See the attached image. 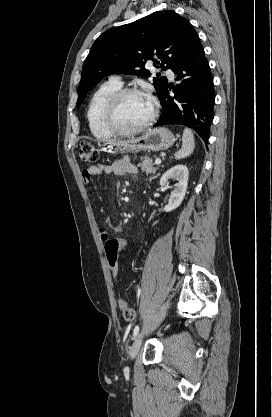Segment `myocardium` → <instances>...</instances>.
I'll list each match as a JSON object with an SVG mask.
<instances>
[{
    "instance_id": "1",
    "label": "myocardium",
    "mask_w": 272,
    "mask_h": 417,
    "mask_svg": "<svg viewBox=\"0 0 272 417\" xmlns=\"http://www.w3.org/2000/svg\"><path fill=\"white\" fill-rule=\"evenodd\" d=\"M130 95H140V96L146 97L152 105V113L150 117L148 118V120L145 121L143 124L137 127L131 128V129H124L117 125L116 114H117V110L121 102ZM157 114L158 112H157L156 105L149 94H147L146 92L138 88L127 87V88H121L110 97V99L108 100L105 106V110L103 114V121H104L105 127L112 134L120 135V136H128V135H133V134L142 132L148 127H150L155 121Z\"/></svg>"
}]
</instances>
